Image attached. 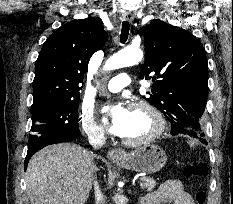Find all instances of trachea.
I'll use <instances>...</instances> for the list:
<instances>
[{
  "label": "trachea",
  "mask_w": 233,
  "mask_h": 204,
  "mask_svg": "<svg viewBox=\"0 0 233 204\" xmlns=\"http://www.w3.org/2000/svg\"><path fill=\"white\" fill-rule=\"evenodd\" d=\"M129 27H130L129 22L123 21V23H122V29H121V35H120V41H121V43H125L126 40L128 39Z\"/></svg>",
  "instance_id": "1"
}]
</instances>
